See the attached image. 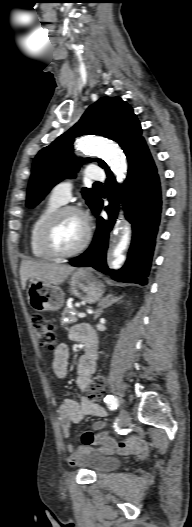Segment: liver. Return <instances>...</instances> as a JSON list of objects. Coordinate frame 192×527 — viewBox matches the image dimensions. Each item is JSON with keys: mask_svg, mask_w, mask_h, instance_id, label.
Listing matches in <instances>:
<instances>
[{"mask_svg": "<svg viewBox=\"0 0 192 527\" xmlns=\"http://www.w3.org/2000/svg\"><path fill=\"white\" fill-rule=\"evenodd\" d=\"M75 270V267L65 264L49 263L46 261L22 260L20 265V279L22 288H26L29 278L44 281L58 287Z\"/></svg>", "mask_w": 192, "mask_h": 527, "instance_id": "6515ba94", "label": "liver"}]
</instances>
